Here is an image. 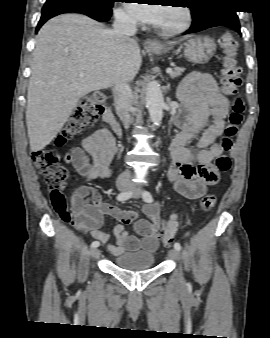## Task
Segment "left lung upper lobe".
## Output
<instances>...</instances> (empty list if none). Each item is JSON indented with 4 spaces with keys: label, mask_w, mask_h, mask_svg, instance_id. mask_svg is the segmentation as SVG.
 <instances>
[{
    "label": "left lung upper lobe",
    "mask_w": 270,
    "mask_h": 338,
    "mask_svg": "<svg viewBox=\"0 0 270 338\" xmlns=\"http://www.w3.org/2000/svg\"><path fill=\"white\" fill-rule=\"evenodd\" d=\"M228 1L229 0H191L190 3L198 4L189 7L191 8L193 18L191 27H196L210 17L229 10L226 7Z\"/></svg>",
    "instance_id": "left-lung-upper-lobe-1"
}]
</instances>
